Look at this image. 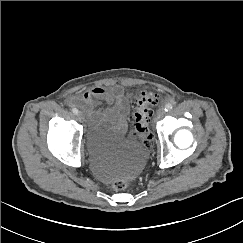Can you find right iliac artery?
Masks as SVG:
<instances>
[{"label": "right iliac artery", "mask_w": 243, "mask_h": 243, "mask_svg": "<svg viewBox=\"0 0 243 243\" xmlns=\"http://www.w3.org/2000/svg\"><path fill=\"white\" fill-rule=\"evenodd\" d=\"M72 111H73V113L76 114V115H77L78 112H79L77 108H73Z\"/></svg>", "instance_id": "1"}]
</instances>
